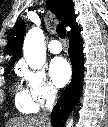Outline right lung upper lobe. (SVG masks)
I'll return each instance as SVG.
<instances>
[{"label": "right lung upper lobe", "instance_id": "1", "mask_svg": "<svg viewBox=\"0 0 108 127\" xmlns=\"http://www.w3.org/2000/svg\"><path fill=\"white\" fill-rule=\"evenodd\" d=\"M57 17L71 29L77 27L76 15L74 13V4L72 0H49L47 5ZM25 33V24L22 20L18 21L10 32L5 53L11 56L12 65L20 56L21 45Z\"/></svg>", "mask_w": 108, "mask_h": 127}]
</instances>
